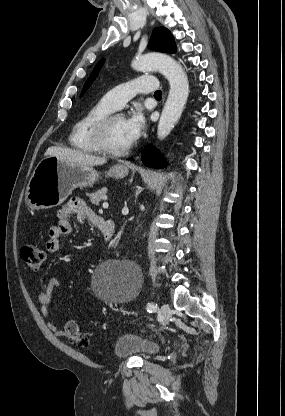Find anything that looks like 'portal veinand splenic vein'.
I'll use <instances>...</instances> for the list:
<instances>
[{"label":"portal vein and splenic vein","instance_id":"obj_1","mask_svg":"<svg viewBox=\"0 0 285 416\" xmlns=\"http://www.w3.org/2000/svg\"><path fill=\"white\" fill-rule=\"evenodd\" d=\"M103 208H109V204H108V202H104V204H103Z\"/></svg>","mask_w":285,"mask_h":416}]
</instances>
